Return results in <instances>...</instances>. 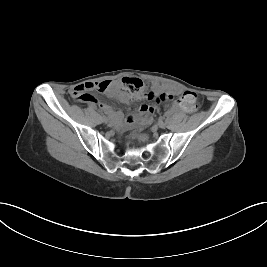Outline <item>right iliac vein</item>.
I'll return each instance as SVG.
<instances>
[{"mask_svg": "<svg viewBox=\"0 0 267 267\" xmlns=\"http://www.w3.org/2000/svg\"><path fill=\"white\" fill-rule=\"evenodd\" d=\"M102 120H103L104 122H109V119H108L107 117H103Z\"/></svg>", "mask_w": 267, "mask_h": 267, "instance_id": "1", "label": "right iliac vein"}]
</instances>
